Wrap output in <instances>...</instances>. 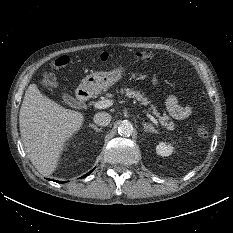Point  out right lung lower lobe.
I'll list each match as a JSON object with an SVG mask.
<instances>
[{
	"instance_id": "obj_1",
	"label": "right lung lower lobe",
	"mask_w": 233,
	"mask_h": 233,
	"mask_svg": "<svg viewBox=\"0 0 233 233\" xmlns=\"http://www.w3.org/2000/svg\"><path fill=\"white\" fill-rule=\"evenodd\" d=\"M92 171L88 172L86 175H84V177H86L87 175H89ZM57 183H64L62 181H56Z\"/></svg>"
}]
</instances>
